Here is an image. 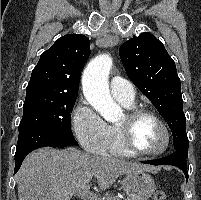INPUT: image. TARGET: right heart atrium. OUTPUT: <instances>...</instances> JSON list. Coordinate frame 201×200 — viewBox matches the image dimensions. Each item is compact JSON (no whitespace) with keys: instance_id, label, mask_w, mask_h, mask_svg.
I'll return each instance as SVG.
<instances>
[{"instance_id":"1","label":"right heart atrium","mask_w":201,"mask_h":200,"mask_svg":"<svg viewBox=\"0 0 201 200\" xmlns=\"http://www.w3.org/2000/svg\"><path fill=\"white\" fill-rule=\"evenodd\" d=\"M71 124L77 140L86 151L100 155L106 152L108 125L87 101H80L74 108Z\"/></svg>"}]
</instances>
